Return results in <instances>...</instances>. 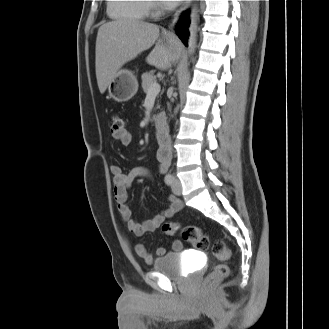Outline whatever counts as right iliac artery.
<instances>
[{
    "label": "right iliac artery",
    "instance_id": "82829eb1",
    "mask_svg": "<svg viewBox=\"0 0 329 329\" xmlns=\"http://www.w3.org/2000/svg\"><path fill=\"white\" fill-rule=\"evenodd\" d=\"M173 180H174V178H173V176H172L171 174H167V175L165 176V179H164V181H165V183H166L167 185H172Z\"/></svg>",
    "mask_w": 329,
    "mask_h": 329
}]
</instances>
